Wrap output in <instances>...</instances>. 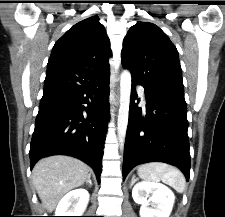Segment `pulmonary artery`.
I'll return each instance as SVG.
<instances>
[{
    "label": "pulmonary artery",
    "instance_id": "e3ab8cb5",
    "mask_svg": "<svg viewBox=\"0 0 225 217\" xmlns=\"http://www.w3.org/2000/svg\"><path fill=\"white\" fill-rule=\"evenodd\" d=\"M138 93L143 100H145L144 89L142 87H138Z\"/></svg>",
    "mask_w": 225,
    "mask_h": 217
}]
</instances>
